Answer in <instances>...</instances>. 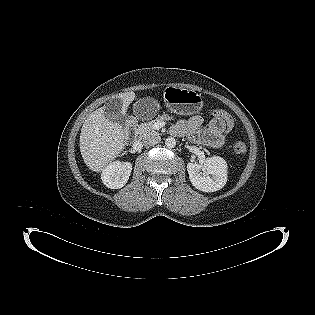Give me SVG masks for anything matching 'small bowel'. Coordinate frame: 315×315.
<instances>
[{
	"label": "small bowel",
	"mask_w": 315,
	"mask_h": 315,
	"mask_svg": "<svg viewBox=\"0 0 315 315\" xmlns=\"http://www.w3.org/2000/svg\"><path fill=\"white\" fill-rule=\"evenodd\" d=\"M226 132L228 131L224 118L215 117V115H213L206 127H203V118L199 115H194L187 120H181L173 127L174 134H186L193 142L214 148L223 146Z\"/></svg>",
	"instance_id": "1"
}]
</instances>
